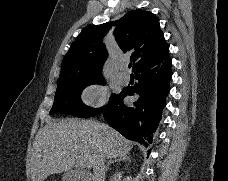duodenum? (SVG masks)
<instances>
[{
    "instance_id": "duodenum-1",
    "label": "duodenum",
    "mask_w": 228,
    "mask_h": 181,
    "mask_svg": "<svg viewBox=\"0 0 228 181\" xmlns=\"http://www.w3.org/2000/svg\"><path fill=\"white\" fill-rule=\"evenodd\" d=\"M84 175L78 174V172H67L64 181H83Z\"/></svg>"
}]
</instances>
